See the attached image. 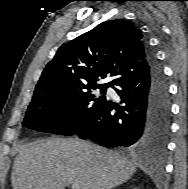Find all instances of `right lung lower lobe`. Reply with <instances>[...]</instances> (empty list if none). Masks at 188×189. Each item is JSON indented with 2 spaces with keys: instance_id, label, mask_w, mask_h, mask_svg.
<instances>
[{
  "instance_id": "1",
  "label": "right lung lower lobe",
  "mask_w": 188,
  "mask_h": 189,
  "mask_svg": "<svg viewBox=\"0 0 188 189\" xmlns=\"http://www.w3.org/2000/svg\"><path fill=\"white\" fill-rule=\"evenodd\" d=\"M149 71L130 79L114 90L125 105L118 108L105 100L92 119L75 135L104 147H149L162 153L170 133L169 88L154 53L148 52ZM116 113H112L113 110Z\"/></svg>"
}]
</instances>
